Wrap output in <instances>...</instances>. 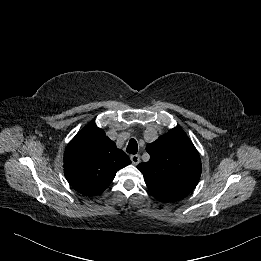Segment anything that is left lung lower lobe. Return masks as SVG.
<instances>
[{"mask_svg":"<svg viewBox=\"0 0 261 261\" xmlns=\"http://www.w3.org/2000/svg\"><path fill=\"white\" fill-rule=\"evenodd\" d=\"M160 201H165V202H173V201H178L180 199L177 198H171V197H160L158 198Z\"/></svg>","mask_w":261,"mask_h":261,"instance_id":"obj_1","label":"left lung lower lobe"}]
</instances>
